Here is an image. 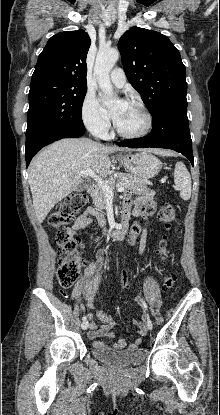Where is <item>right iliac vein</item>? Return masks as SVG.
<instances>
[{"label":"right iliac vein","mask_w":220,"mask_h":415,"mask_svg":"<svg viewBox=\"0 0 220 415\" xmlns=\"http://www.w3.org/2000/svg\"><path fill=\"white\" fill-rule=\"evenodd\" d=\"M89 322L88 321H84L82 324H81V328L83 329V330H86V329H88V327H89Z\"/></svg>","instance_id":"right-iliac-vein-1"}]
</instances>
